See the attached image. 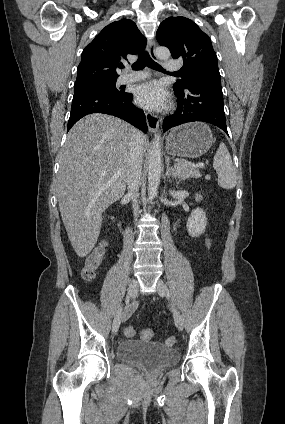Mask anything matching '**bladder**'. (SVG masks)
<instances>
[{
    "instance_id": "1",
    "label": "bladder",
    "mask_w": 285,
    "mask_h": 424,
    "mask_svg": "<svg viewBox=\"0 0 285 424\" xmlns=\"http://www.w3.org/2000/svg\"><path fill=\"white\" fill-rule=\"evenodd\" d=\"M118 357L131 365L158 371L175 364L178 352L159 342L124 340L118 346Z\"/></svg>"
}]
</instances>
